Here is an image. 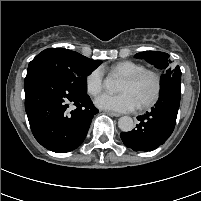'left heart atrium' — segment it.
<instances>
[{
	"instance_id": "39dd6f15",
	"label": "left heart atrium",
	"mask_w": 201,
	"mask_h": 201,
	"mask_svg": "<svg viewBox=\"0 0 201 201\" xmlns=\"http://www.w3.org/2000/svg\"><path fill=\"white\" fill-rule=\"evenodd\" d=\"M95 105L100 109L118 113L130 112L138 106L135 99L128 92L105 93L95 100Z\"/></svg>"
}]
</instances>
